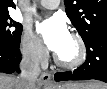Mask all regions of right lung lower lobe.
I'll use <instances>...</instances> for the list:
<instances>
[{
  "label": "right lung lower lobe",
  "instance_id": "obj_1",
  "mask_svg": "<svg viewBox=\"0 0 107 89\" xmlns=\"http://www.w3.org/2000/svg\"><path fill=\"white\" fill-rule=\"evenodd\" d=\"M21 61V54L19 47L10 49L0 45V72L12 74L19 72V63Z\"/></svg>",
  "mask_w": 107,
  "mask_h": 89
}]
</instances>
